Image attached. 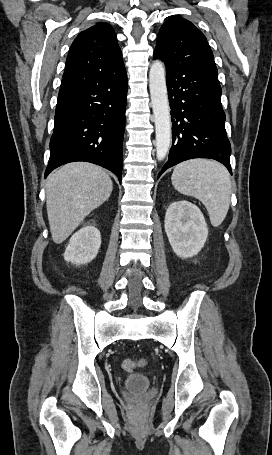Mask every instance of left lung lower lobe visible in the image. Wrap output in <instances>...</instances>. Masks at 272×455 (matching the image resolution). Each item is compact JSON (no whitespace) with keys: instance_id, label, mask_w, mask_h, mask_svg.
<instances>
[{"instance_id":"left-lung-lower-lobe-1","label":"left lung lower lobe","mask_w":272,"mask_h":455,"mask_svg":"<svg viewBox=\"0 0 272 455\" xmlns=\"http://www.w3.org/2000/svg\"><path fill=\"white\" fill-rule=\"evenodd\" d=\"M166 82L173 142L158 178L166 169L193 158L217 160L232 174L218 74L190 67L166 70Z\"/></svg>"}]
</instances>
